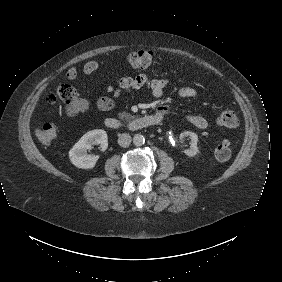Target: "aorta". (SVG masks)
I'll use <instances>...</instances> for the list:
<instances>
[{
	"mask_svg": "<svg viewBox=\"0 0 282 282\" xmlns=\"http://www.w3.org/2000/svg\"><path fill=\"white\" fill-rule=\"evenodd\" d=\"M133 144L140 147L145 144V137L142 134H135L133 137Z\"/></svg>",
	"mask_w": 282,
	"mask_h": 282,
	"instance_id": "aorta-1",
	"label": "aorta"
}]
</instances>
